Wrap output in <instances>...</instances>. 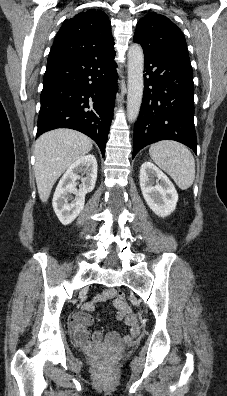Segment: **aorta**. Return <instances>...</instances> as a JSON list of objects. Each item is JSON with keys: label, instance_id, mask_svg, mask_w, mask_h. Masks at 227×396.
Instances as JSON below:
<instances>
[{"label": "aorta", "instance_id": "aorta-1", "mask_svg": "<svg viewBox=\"0 0 227 396\" xmlns=\"http://www.w3.org/2000/svg\"><path fill=\"white\" fill-rule=\"evenodd\" d=\"M128 93L127 118L134 122L140 111L143 97L144 54L139 44H132L128 50Z\"/></svg>", "mask_w": 227, "mask_h": 396}]
</instances>
